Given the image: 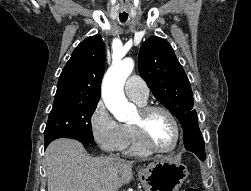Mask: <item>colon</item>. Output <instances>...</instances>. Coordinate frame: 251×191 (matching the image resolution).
Instances as JSON below:
<instances>
[{
    "label": "colon",
    "mask_w": 251,
    "mask_h": 191,
    "mask_svg": "<svg viewBox=\"0 0 251 191\" xmlns=\"http://www.w3.org/2000/svg\"><path fill=\"white\" fill-rule=\"evenodd\" d=\"M184 191H199V189L196 187H186Z\"/></svg>",
    "instance_id": "obj_1"
}]
</instances>
